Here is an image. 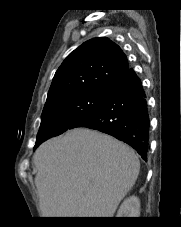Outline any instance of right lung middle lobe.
I'll return each mask as SVG.
<instances>
[{"label": "right lung middle lobe", "instance_id": "right-lung-middle-lobe-1", "mask_svg": "<svg viewBox=\"0 0 181 227\" xmlns=\"http://www.w3.org/2000/svg\"><path fill=\"white\" fill-rule=\"evenodd\" d=\"M110 88L57 99L44 107L35 149L47 139L76 128L94 115L105 103Z\"/></svg>", "mask_w": 181, "mask_h": 227}]
</instances>
